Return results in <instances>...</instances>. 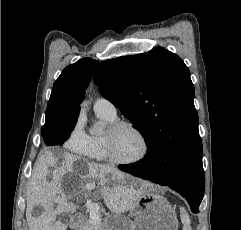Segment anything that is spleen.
<instances>
[{"label":"spleen","instance_id":"spleen-1","mask_svg":"<svg viewBox=\"0 0 241 230\" xmlns=\"http://www.w3.org/2000/svg\"><path fill=\"white\" fill-rule=\"evenodd\" d=\"M180 216H181V221L183 223V230H192L191 225H190L191 220L184 207L180 208Z\"/></svg>","mask_w":241,"mask_h":230}]
</instances>
